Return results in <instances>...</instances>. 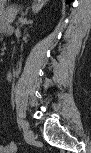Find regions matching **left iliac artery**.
Here are the masks:
<instances>
[{"mask_svg": "<svg viewBox=\"0 0 91 153\" xmlns=\"http://www.w3.org/2000/svg\"><path fill=\"white\" fill-rule=\"evenodd\" d=\"M18 124L22 127V135L24 137L25 143H28V129L27 126H25V122L21 119H18Z\"/></svg>", "mask_w": 91, "mask_h": 153, "instance_id": "1", "label": "left iliac artery"}]
</instances>
